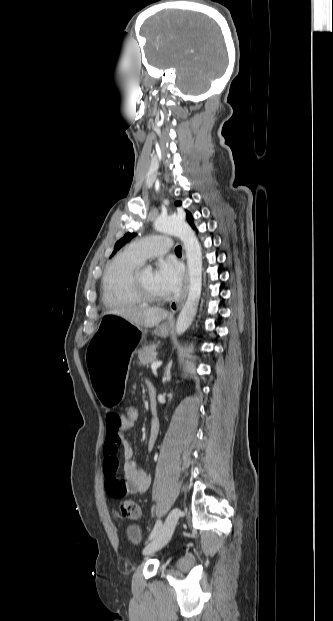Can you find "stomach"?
Returning <instances> with one entry per match:
<instances>
[{
    "label": "stomach",
    "instance_id": "stomach-1",
    "mask_svg": "<svg viewBox=\"0 0 333 621\" xmlns=\"http://www.w3.org/2000/svg\"><path fill=\"white\" fill-rule=\"evenodd\" d=\"M146 332L132 324L127 314L106 315L87 343L86 372L92 379L97 399L109 413L120 407L128 389L126 377L131 352L145 338Z\"/></svg>",
    "mask_w": 333,
    "mask_h": 621
}]
</instances>
